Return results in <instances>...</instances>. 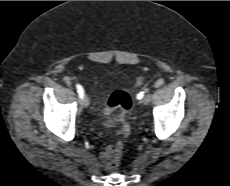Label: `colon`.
Returning <instances> with one entry per match:
<instances>
[{"instance_id":"obj_1","label":"colon","mask_w":230,"mask_h":186,"mask_svg":"<svg viewBox=\"0 0 230 186\" xmlns=\"http://www.w3.org/2000/svg\"><path fill=\"white\" fill-rule=\"evenodd\" d=\"M144 78H137V85H141ZM131 98L129 94L123 90L113 92L109 98L106 111L110 112L113 109L119 108L122 112L120 116V127L117 130L119 139L115 144L107 146L100 155L102 164L108 169H114L119 166L123 155V138L130 133V125L126 119L127 113L131 109Z\"/></svg>"}]
</instances>
